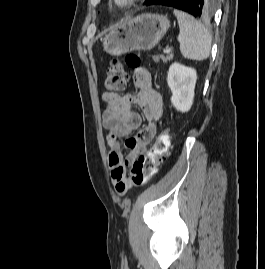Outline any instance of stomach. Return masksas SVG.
Here are the masks:
<instances>
[{
  "label": "stomach",
  "mask_w": 265,
  "mask_h": 269,
  "mask_svg": "<svg viewBox=\"0 0 265 269\" xmlns=\"http://www.w3.org/2000/svg\"><path fill=\"white\" fill-rule=\"evenodd\" d=\"M170 21L165 15L144 13L113 28L103 39L104 51L122 55L131 51H148L166 34Z\"/></svg>",
  "instance_id": "0dacf381"
}]
</instances>
